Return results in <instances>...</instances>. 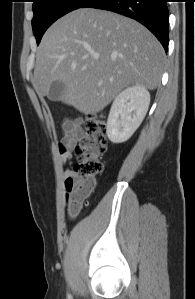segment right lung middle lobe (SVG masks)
<instances>
[{"instance_id":"1","label":"right lung middle lobe","mask_w":195,"mask_h":299,"mask_svg":"<svg viewBox=\"0 0 195 299\" xmlns=\"http://www.w3.org/2000/svg\"><path fill=\"white\" fill-rule=\"evenodd\" d=\"M88 0H34L32 28L37 43L47 28L63 15L81 8Z\"/></svg>"}]
</instances>
